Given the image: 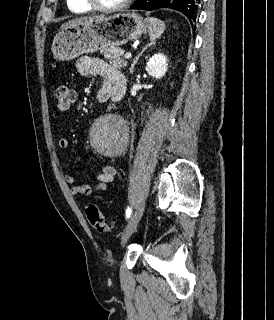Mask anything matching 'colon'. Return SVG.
<instances>
[{
    "label": "colon",
    "mask_w": 274,
    "mask_h": 320,
    "mask_svg": "<svg viewBox=\"0 0 274 320\" xmlns=\"http://www.w3.org/2000/svg\"><path fill=\"white\" fill-rule=\"evenodd\" d=\"M53 99L59 111H66L74 100L71 88L66 85H57L53 88ZM89 223L100 233L110 232L112 224L108 223L98 205L92 203L85 208Z\"/></svg>",
    "instance_id": "1"
}]
</instances>
